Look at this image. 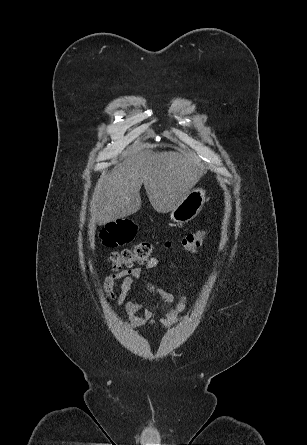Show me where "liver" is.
<instances>
[{
  "label": "liver",
  "mask_w": 307,
  "mask_h": 445,
  "mask_svg": "<svg viewBox=\"0 0 307 445\" xmlns=\"http://www.w3.org/2000/svg\"><path fill=\"white\" fill-rule=\"evenodd\" d=\"M150 146H129L122 152L124 160L100 178L90 208L98 225L137 212L142 184L154 210L170 212L204 174L192 158L174 150L155 152Z\"/></svg>",
  "instance_id": "1"
}]
</instances>
